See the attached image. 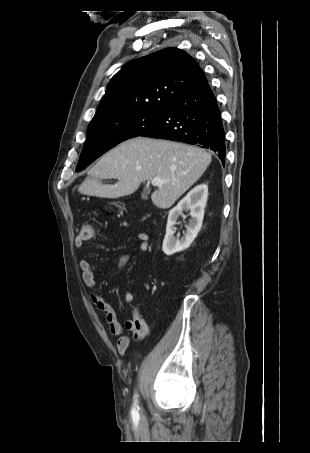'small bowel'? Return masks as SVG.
<instances>
[{
    "instance_id": "small-bowel-1",
    "label": "small bowel",
    "mask_w": 310,
    "mask_h": 453,
    "mask_svg": "<svg viewBox=\"0 0 310 453\" xmlns=\"http://www.w3.org/2000/svg\"><path fill=\"white\" fill-rule=\"evenodd\" d=\"M137 238L140 241L139 250L146 252L149 248L148 235L146 232H139ZM88 238H84L82 234L75 237L74 244L76 247H83ZM128 257L123 255L118 262V270H121L127 263ZM81 270V278L84 285L92 291L91 299L97 310L104 313L108 329L112 335L118 336L117 350L119 354L124 355L129 346V336L125 330L131 331L136 339L145 337L148 333L149 327L146 320L140 315L139 309L135 308L132 312V319L125 321L122 326L117 319L116 313L111 305L101 296L94 292L96 287L94 266L88 259H82L79 263ZM124 300L126 303H132L134 295L131 291H125Z\"/></svg>"
}]
</instances>
